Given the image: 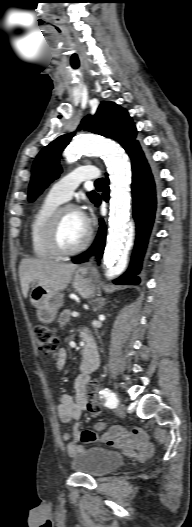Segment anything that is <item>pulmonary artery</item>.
Instances as JSON below:
<instances>
[{
    "label": "pulmonary artery",
    "instance_id": "1",
    "mask_svg": "<svg viewBox=\"0 0 192 527\" xmlns=\"http://www.w3.org/2000/svg\"><path fill=\"white\" fill-rule=\"evenodd\" d=\"M99 170L95 166H81L55 182L49 190V196L62 202L67 201L74 190L85 180L98 179Z\"/></svg>",
    "mask_w": 192,
    "mask_h": 527
}]
</instances>
